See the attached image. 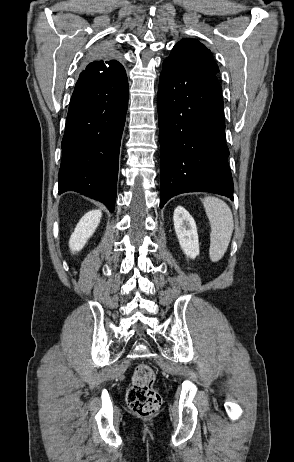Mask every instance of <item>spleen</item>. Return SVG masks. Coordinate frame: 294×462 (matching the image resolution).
<instances>
[{"label": "spleen", "mask_w": 294, "mask_h": 462, "mask_svg": "<svg viewBox=\"0 0 294 462\" xmlns=\"http://www.w3.org/2000/svg\"><path fill=\"white\" fill-rule=\"evenodd\" d=\"M203 205L211 225L210 258L218 261L226 252L233 228V216L229 206L216 197H205Z\"/></svg>", "instance_id": "3e777b00"}]
</instances>
